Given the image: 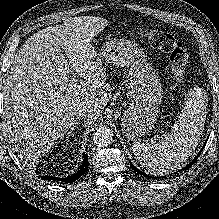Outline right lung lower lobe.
I'll return each mask as SVG.
<instances>
[{
	"mask_svg": "<svg viewBox=\"0 0 219 219\" xmlns=\"http://www.w3.org/2000/svg\"><path fill=\"white\" fill-rule=\"evenodd\" d=\"M84 159H83V163L81 165V168L78 170L77 173H75L74 175H71L69 177L66 178H56V177H52V176H41V179L43 180H58V181H62L65 183H72L74 181H76L78 178H80L87 170H88V157L86 156V154H84Z\"/></svg>",
	"mask_w": 219,
	"mask_h": 219,
	"instance_id": "obj_1",
	"label": "right lung lower lobe"
}]
</instances>
